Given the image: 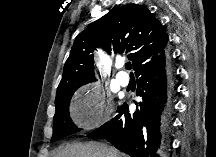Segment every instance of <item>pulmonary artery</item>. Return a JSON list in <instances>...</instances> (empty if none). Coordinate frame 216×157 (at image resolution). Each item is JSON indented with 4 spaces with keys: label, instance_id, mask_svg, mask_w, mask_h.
Listing matches in <instances>:
<instances>
[{
    "label": "pulmonary artery",
    "instance_id": "pulmonary-artery-1",
    "mask_svg": "<svg viewBox=\"0 0 216 157\" xmlns=\"http://www.w3.org/2000/svg\"><path fill=\"white\" fill-rule=\"evenodd\" d=\"M116 79H117L118 83H119L120 85H122V86H127L128 83H129V77H128V75H127L125 72H123V71H120V72L117 73Z\"/></svg>",
    "mask_w": 216,
    "mask_h": 157
}]
</instances>
